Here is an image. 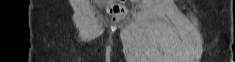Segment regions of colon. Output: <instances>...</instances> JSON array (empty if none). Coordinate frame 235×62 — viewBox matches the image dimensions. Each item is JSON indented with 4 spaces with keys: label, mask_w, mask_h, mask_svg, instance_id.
<instances>
[{
    "label": "colon",
    "mask_w": 235,
    "mask_h": 62,
    "mask_svg": "<svg viewBox=\"0 0 235 62\" xmlns=\"http://www.w3.org/2000/svg\"><path fill=\"white\" fill-rule=\"evenodd\" d=\"M107 12L112 18V20L117 21L123 18L126 13L127 9L124 5V1L122 0H109L107 3Z\"/></svg>",
    "instance_id": "5ec220e1"
}]
</instances>
